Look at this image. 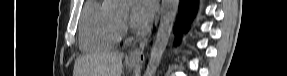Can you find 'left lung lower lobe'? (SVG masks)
Wrapping results in <instances>:
<instances>
[{
	"label": "left lung lower lobe",
	"mask_w": 287,
	"mask_h": 76,
	"mask_svg": "<svg viewBox=\"0 0 287 76\" xmlns=\"http://www.w3.org/2000/svg\"><path fill=\"white\" fill-rule=\"evenodd\" d=\"M196 8V0H180L179 15L174 30L176 36L178 37L177 41H179L181 33L187 30L189 22L195 14Z\"/></svg>",
	"instance_id": "0a47b994"
}]
</instances>
